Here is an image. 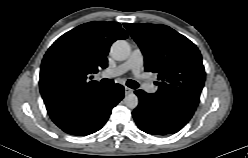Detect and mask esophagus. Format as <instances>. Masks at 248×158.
I'll list each match as a JSON object with an SVG mask.
<instances>
[{"label": "esophagus", "mask_w": 248, "mask_h": 158, "mask_svg": "<svg viewBox=\"0 0 248 158\" xmlns=\"http://www.w3.org/2000/svg\"><path fill=\"white\" fill-rule=\"evenodd\" d=\"M133 92L132 89H130L129 87L125 86V94H131Z\"/></svg>", "instance_id": "obj_1"}]
</instances>
